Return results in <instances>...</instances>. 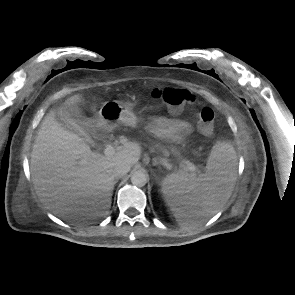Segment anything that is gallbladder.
Here are the masks:
<instances>
[{
	"label": "gallbladder",
	"instance_id": "1",
	"mask_svg": "<svg viewBox=\"0 0 295 295\" xmlns=\"http://www.w3.org/2000/svg\"><path fill=\"white\" fill-rule=\"evenodd\" d=\"M55 119L56 121L66 130L74 133H78V124H82L83 118L80 113L67 106H59L55 109Z\"/></svg>",
	"mask_w": 295,
	"mask_h": 295
}]
</instances>
